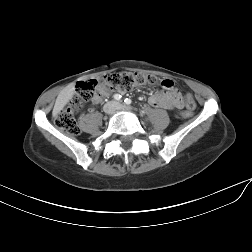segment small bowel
Wrapping results in <instances>:
<instances>
[{
	"instance_id": "small-bowel-1",
	"label": "small bowel",
	"mask_w": 252,
	"mask_h": 252,
	"mask_svg": "<svg viewBox=\"0 0 252 252\" xmlns=\"http://www.w3.org/2000/svg\"><path fill=\"white\" fill-rule=\"evenodd\" d=\"M165 81H170L173 85L169 88H166L163 85V82ZM161 86L166 90L152 94L148 99L149 104L155 108L169 110L182 109L184 107V100L179 91L174 87V82L170 79H164L161 82ZM111 93L112 91L101 89L98 95L94 98L93 102L95 104H98L102 102L104 98L108 97ZM188 96L191 97V95Z\"/></svg>"
}]
</instances>
